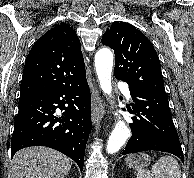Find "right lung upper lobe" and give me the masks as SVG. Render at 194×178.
I'll use <instances>...</instances> for the list:
<instances>
[{
	"label": "right lung upper lobe",
	"mask_w": 194,
	"mask_h": 178,
	"mask_svg": "<svg viewBox=\"0 0 194 178\" xmlns=\"http://www.w3.org/2000/svg\"><path fill=\"white\" fill-rule=\"evenodd\" d=\"M85 78L80 41L75 30L62 22L39 38L30 50L20 99L72 86Z\"/></svg>",
	"instance_id": "right-lung-upper-lobe-1"
}]
</instances>
